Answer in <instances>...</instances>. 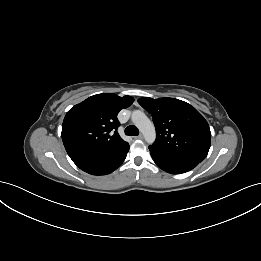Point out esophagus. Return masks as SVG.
<instances>
[{"label":"esophagus","instance_id":"esophagus-1","mask_svg":"<svg viewBox=\"0 0 261 261\" xmlns=\"http://www.w3.org/2000/svg\"><path fill=\"white\" fill-rule=\"evenodd\" d=\"M143 138H144V136L142 134L135 137V139H143Z\"/></svg>","mask_w":261,"mask_h":261}]
</instances>
